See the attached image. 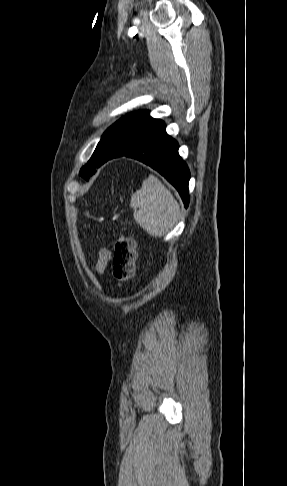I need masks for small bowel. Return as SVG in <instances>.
Segmentation results:
<instances>
[{"label":"small bowel","mask_w":287,"mask_h":486,"mask_svg":"<svg viewBox=\"0 0 287 486\" xmlns=\"http://www.w3.org/2000/svg\"><path fill=\"white\" fill-rule=\"evenodd\" d=\"M110 260H111V252L106 248L100 249L94 266L95 271L99 274H104L106 272Z\"/></svg>","instance_id":"obj_1"}]
</instances>
